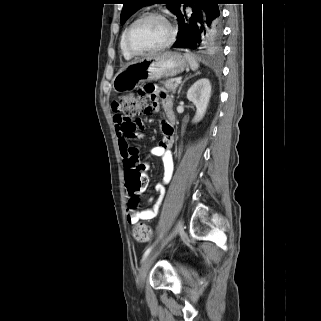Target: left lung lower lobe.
<instances>
[{
	"instance_id": "left-lung-lower-lobe-1",
	"label": "left lung lower lobe",
	"mask_w": 321,
	"mask_h": 321,
	"mask_svg": "<svg viewBox=\"0 0 321 321\" xmlns=\"http://www.w3.org/2000/svg\"><path fill=\"white\" fill-rule=\"evenodd\" d=\"M183 4L193 10L191 14H186L180 7L176 13L179 32L173 47L218 53L223 37L219 7L223 4L222 0H187Z\"/></svg>"
}]
</instances>
